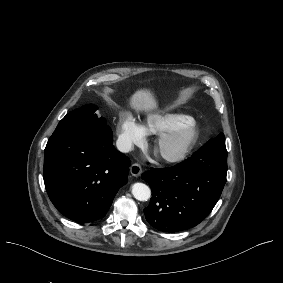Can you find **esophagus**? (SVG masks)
I'll use <instances>...</instances> for the list:
<instances>
[{
	"label": "esophagus",
	"instance_id": "34e87169",
	"mask_svg": "<svg viewBox=\"0 0 283 283\" xmlns=\"http://www.w3.org/2000/svg\"><path fill=\"white\" fill-rule=\"evenodd\" d=\"M130 173L133 176H139L142 173V168L139 164L134 163L130 166Z\"/></svg>",
	"mask_w": 283,
	"mask_h": 283
}]
</instances>
